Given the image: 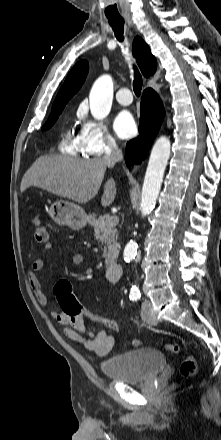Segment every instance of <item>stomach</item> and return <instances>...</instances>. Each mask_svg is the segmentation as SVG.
<instances>
[{
  "instance_id": "0dacf381",
  "label": "stomach",
  "mask_w": 221,
  "mask_h": 440,
  "mask_svg": "<svg viewBox=\"0 0 221 440\" xmlns=\"http://www.w3.org/2000/svg\"><path fill=\"white\" fill-rule=\"evenodd\" d=\"M49 215L58 225H65L73 230L84 228L90 221L81 206L64 200L54 202L49 209Z\"/></svg>"
}]
</instances>
